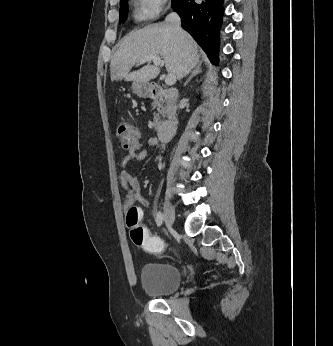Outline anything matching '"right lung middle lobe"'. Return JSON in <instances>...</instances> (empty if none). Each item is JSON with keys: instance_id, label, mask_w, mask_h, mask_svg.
I'll return each mask as SVG.
<instances>
[{"instance_id": "right-lung-middle-lobe-1", "label": "right lung middle lobe", "mask_w": 333, "mask_h": 346, "mask_svg": "<svg viewBox=\"0 0 333 346\" xmlns=\"http://www.w3.org/2000/svg\"><path fill=\"white\" fill-rule=\"evenodd\" d=\"M127 1L128 0H120V14H119V18H120V22H124V20L127 18Z\"/></svg>"}]
</instances>
